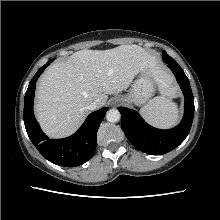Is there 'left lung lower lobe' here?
Instances as JSON below:
<instances>
[{
	"label": "left lung lower lobe",
	"mask_w": 220,
	"mask_h": 220,
	"mask_svg": "<svg viewBox=\"0 0 220 220\" xmlns=\"http://www.w3.org/2000/svg\"><path fill=\"white\" fill-rule=\"evenodd\" d=\"M177 78L185 97V112L181 123L170 130H160L148 125L131 109L118 107L122 116L121 128L129 141L140 151L151 155L165 154L179 146L189 134L194 116V98L189 80L177 62L163 57Z\"/></svg>",
	"instance_id": "0a47b994"
}]
</instances>
